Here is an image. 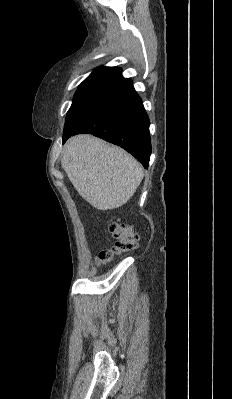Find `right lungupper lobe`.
<instances>
[{
  "label": "right lung upper lobe",
  "mask_w": 232,
  "mask_h": 399,
  "mask_svg": "<svg viewBox=\"0 0 232 399\" xmlns=\"http://www.w3.org/2000/svg\"><path fill=\"white\" fill-rule=\"evenodd\" d=\"M121 69L118 67H100L93 71L85 81L94 82L96 84L106 81L114 76L121 73Z\"/></svg>",
  "instance_id": "cb5924a9"
}]
</instances>
